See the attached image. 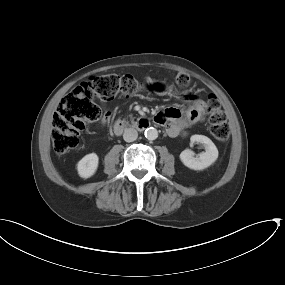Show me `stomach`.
<instances>
[{
    "instance_id": "obj_1",
    "label": "stomach",
    "mask_w": 285,
    "mask_h": 285,
    "mask_svg": "<svg viewBox=\"0 0 285 285\" xmlns=\"http://www.w3.org/2000/svg\"><path fill=\"white\" fill-rule=\"evenodd\" d=\"M183 97H184V99H185L187 102H191V100H190V99H192V96H191V95H189V94H184Z\"/></svg>"
}]
</instances>
